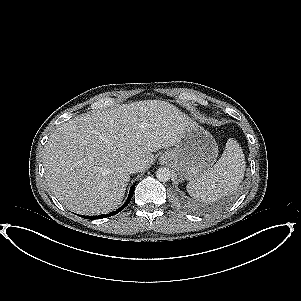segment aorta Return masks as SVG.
I'll use <instances>...</instances> for the list:
<instances>
[{"label":"aorta","instance_id":"762f6f07","mask_svg":"<svg viewBox=\"0 0 301 301\" xmlns=\"http://www.w3.org/2000/svg\"><path fill=\"white\" fill-rule=\"evenodd\" d=\"M156 178L160 182H167L171 178V171L166 167H161L156 171Z\"/></svg>","mask_w":301,"mask_h":301}]
</instances>
